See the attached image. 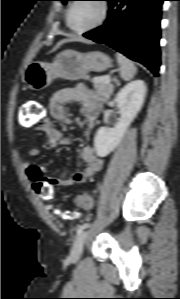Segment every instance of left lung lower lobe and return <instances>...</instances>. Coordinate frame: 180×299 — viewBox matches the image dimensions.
I'll use <instances>...</instances> for the list:
<instances>
[{
    "label": "left lung lower lobe",
    "mask_w": 180,
    "mask_h": 299,
    "mask_svg": "<svg viewBox=\"0 0 180 299\" xmlns=\"http://www.w3.org/2000/svg\"><path fill=\"white\" fill-rule=\"evenodd\" d=\"M105 1L109 2L106 22L83 36L116 49L158 76L161 6L165 0Z\"/></svg>",
    "instance_id": "1"
}]
</instances>
